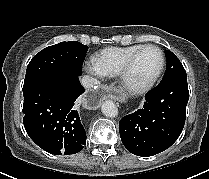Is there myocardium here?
<instances>
[{
    "instance_id": "f54148a6",
    "label": "myocardium",
    "mask_w": 209,
    "mask_h": 179,
    "mask_svg": "<svg viewBox=\"0 0 209 179\" xmlns=\"http://www.w3.org/2000/svg\"><path fill=\"white\" fill-rule=\"evenodd\" d=\"M150 48H154L159 51V53L161 55L160 68H159L158 72L154 75V77H152L148 82L141 84V85H132L129 82V75L131 73V70H132L134 64L136 63L137 59L139 58V56L145 50L150 49ZM165 65H166V58H165V54H164L163 50L157 45H153V44L145 45L141 49L136 51L123 66L122 70L119 73L120 85L123 88V90L130 95L145 94L148 91H150L154 87V85L157 83V81L160 79V77L163 74V71L165 69Z\"/></svg>"
}]
</instances>
